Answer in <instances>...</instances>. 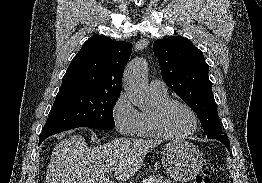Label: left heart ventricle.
I'll use <instances>...</instances> for the list:
<instances>
[{
	"instance_id": "left-heart-ventricle-1",
	"label": "left heart ventricle",
	"mask_w": 262,
	"mask_h": 183,
	"mask_svg": "<svg viewBox=\"0 0 262 183\" xmlns=\"http://www.w3.org/2000/svg\"><path fill=\"white\" fill-rule=\"evenodd\" d=\"M191 113L182 105H172L164 116V127L172 134H183L193 128Z\"/></svg>"
}]
</instances>
